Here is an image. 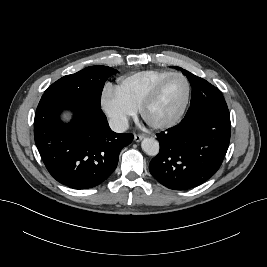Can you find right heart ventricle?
<instances>
[{"label": "right heart ventricle", "instance_id": "right-heart-ventricle-1", "mask_svg": "<svg viewBox=\"0 0 267 267\" xmlns=\"http://www.w3.org/2000/svg\"><path fill=\"white\" fill-rule=\"evenodd\" d=\"M169 74H171L169 71L157 70L133 73L121 77L117 81L115 90L128 105L137 110L153 87Z\"/></svg>", "mask_w": 267, "mask_h": 267}]
</instances>
